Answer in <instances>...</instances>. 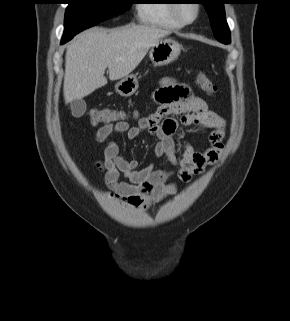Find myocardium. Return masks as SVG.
<instances>
[{
    "instance_id": "f54148a6",
    "label": "myocardium",
    "mask_w": 290,
    "mask_h": 321,
    "mask_svg": "<svg viewBox=\"0 0 290 321\" xmlns=\"http://www.w3.org/2000/svg\"><path fill=\"white\" fill-rule=\"evenodd\" d=\"M175 3H172L171 9L174 18L181 23L182 25H191L193 24L200 16L201 13V5L197 2H194L193 5L195 7V16L191 20L185 19L180 13V6L183 3L178 2V0H173Z\"/></svg>"
}]
</instances>
